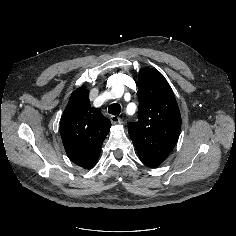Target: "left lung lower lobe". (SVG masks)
<instances>
[{
	"mask_svg": "<svg viewBox=\"0 0 236 236\" xmlns=\"http://www.w3.org/2000/svg\"><path fill=\"white\" fill-rule=\"evenodd\" d=\"M140 159L142 160V162L145 165H147L148 167H151V168L158 167L162 163L158 160L150 159V158H147V157H140Z\"/></svg>",
	"mask_w": 236,
	"mask_h": 236,
	"instance_id": "1",
	"label": "left lung lower lobe"
}]
</instances>
